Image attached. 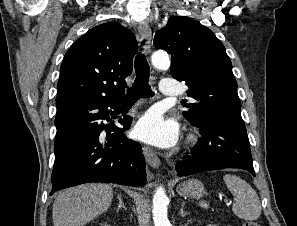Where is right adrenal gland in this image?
Instances as JSON below:
<instances>
[{"label": "right adrenal gland", "instance_id": "right-adrenal-gland-1", "mask_svg": "<svg viewBox=\"0 0 297 226\" xmlns=\"http://www.w3.org/2000/svg\"><path fill=\"white\" fill-rule=\"evenodd\" d=\"M117 198H118V200H119V203H118V205H117L116 210L119 211L120 208H123L124 210H127L126 206H125L124 203H123L121 194H118V195H117Z\"/></svg>", "mask_w": 297, "mask_h": 226}]
</instances>
